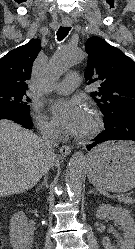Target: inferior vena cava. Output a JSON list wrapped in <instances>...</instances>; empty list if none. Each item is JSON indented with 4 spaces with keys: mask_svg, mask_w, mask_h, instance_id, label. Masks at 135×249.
<instances>
[{
    "mask_svg": "<svg viewBox=\"0 0 135 249\" xmlns=\"http://www.w3.org/2000/svg\"><path fill=\"white\" fill-rule=\"evenodd\" d=\"M42 134V142L46 149L52 154L55 155L54 148L58 146L60 141V131L51 126H42L40 128ZM54 165L53 161L50 162L48 169Z\"/></svg>",
    "mask_w": 135,
    "mask_h": 249,
    "instance_id": "obj_1",
    "label": "inferior vena cava"
}]
</instances>
